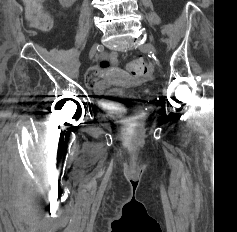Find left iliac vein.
<instances>
[{
  "label": "left iliac vein",
  "instance_id": "left-iliac-vein-1",
  "mask_svg": "<svg viewBox=\"0 0 237 232\" xmlns=\"http://www.w3.org/2000/svg\"><path fill=\"white\" fill-rule=\"evenodd\" d=\"M139 48H140V50H147V51H150L153 53L156 52L154 45L151 43H145V44L141 45Z\"/></svg>",
  "mask_w": 237,
  "mask_h": 232
}]
</instances>
